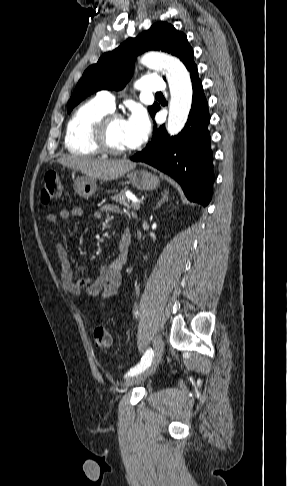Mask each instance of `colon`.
I'll use <instances>...</instances> for the list:
<instances>
[{
  "instance_id": "obj_1",
  "label": "colon",
  "mask_w": 287,
  "mask_h": 486,
  "mask_svg": "<svg viewBox=\"0 0 287 486\" xmlns=\"http://www.w3.org/2000/svg\"><path fill=\"white\" fill-rule=\"evenodd\" d=\"M61 183L59 175L54 171H48L44 174L42 179V188L40 193V200L47 204L57 199L61 194ZM94 344L99 349H107L112 343V337L109 329L106 326L99 325L94 329Z\"/></svg>"
}]
</instances>
